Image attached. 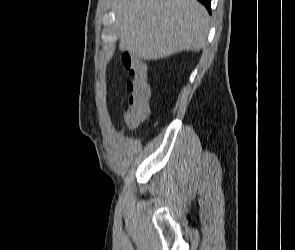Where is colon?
<instances>
[{
    "label": "colon",
    "mask_w": 295,
    "mask_h": 250,
    "mask_svg": "<svg viewBox=\"0 0 295 250\" xmlns=\"http://www.w3.org/2000/svg\"><path fill=\"white\" fill-rule=\"evenodd\" d=\"M127 104L124 121L129 128L140 125L149 114L150 89L144 77H132L127 83Z\"/></svg>",
    "instance_id": "colon-1"
}]
</instances>
